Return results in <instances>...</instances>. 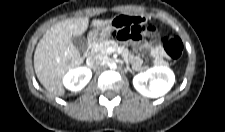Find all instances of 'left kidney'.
<instances>
[{
    "instance_id": "5707ae66",
    "label": "left kidney",
    "mask_w": 225,
    "mask_h": 132,
    "mask_svg": "<svg viewBox=\"0 0 225 132\" xmlns=\"http://www.w3.org/2000/svg\"><path fill=\"white\" fill-rule=\"evenodd\" d=\"M175 75L165 66H156L133 78L134 88L143 96L158 98L165 95L173 86Z\"/></svg>"
}]
</instances>
